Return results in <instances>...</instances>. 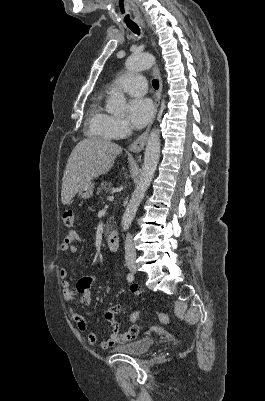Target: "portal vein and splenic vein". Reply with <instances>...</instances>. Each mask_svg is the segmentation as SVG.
<instances>
[{
    "label": "portal vein and splenic vein",
    "instance_id": "1",
    "mask_svg": "<svg viewBox=\"0 0 265 401\" xmlns=\"http://www.w3.org/2000/svg\"><path fill=\"white\" fill-rule=\"evenodd\" d=\"M114 196H109L108 201H113Z\"/></svg>",
    "mask_w": 265,
    "mask_h": 401
}]
</instances>
